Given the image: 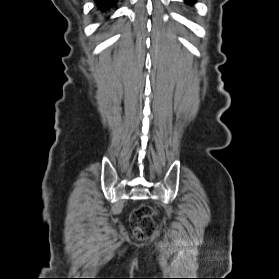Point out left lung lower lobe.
<instances>
[{"label": "left lung lower lobe", "instance_id": "0a47b994", "mask_svg": "<svg viewBox=\"0 0 279 279\" xmlns=\"http://www.w3.org/2000/svg\"><path fill=\"white\" fill-rule=\"evenodd\" d=\"M187 3L191 4L193 3L195 0H185Z\"/></svg>", "mask_w": 279, "mask_h": 279}]
</instances>
